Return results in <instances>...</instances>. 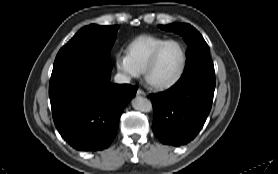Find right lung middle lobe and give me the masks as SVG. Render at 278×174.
I'll return each mask as SVG.
<instances>
[{
  "instance_id": "right-lung-middle-lobe-1",
  "label": "right lung middle lobe",
  "mask_w": 278,
  "mask_h": 174,
  "mask_svg": "<svg viewBox=\"0 0 278 174\" xmlns=\"http://www.w3.org/2000/svg\"><path fill=\"white\" fill-rule=\"evenodd\" d=\"M119 26L89 25L78 33L58 52L53 71L71 65H82L102 71L112 70L110 50Z\"/></svg>"
}]
</instances>
